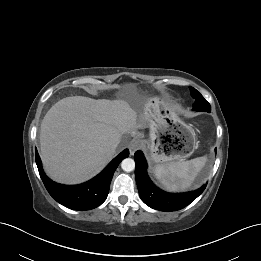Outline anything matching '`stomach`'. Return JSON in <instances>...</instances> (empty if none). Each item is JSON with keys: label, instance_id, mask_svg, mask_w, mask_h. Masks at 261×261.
Wrapping results in <instances>:
<instances>
[{"label": "stomach", "instance_id": "stomach-1", "mask_svg": "<svg viewBox=\"0 0 261 261\" xmlns=\"http://www.w3.org/2000/svg\"><path fill=\"white\" fill-rule=\"evenodd\" d=\"M149 138L145 150L153 164H167L189 157L197 146L194 130L176 112L159 104L152 108Z\"/></svg>", "mask_w": 261, "mask_h": 261}]
</instances>
